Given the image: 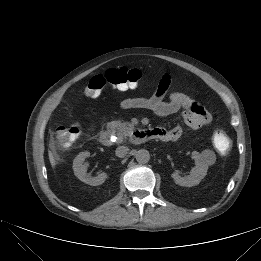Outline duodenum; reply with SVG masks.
I'll list each match as a JSON object with an SVG mask.
<instances>
[{
  "mask_svg": "<svg viewBox=\"0 0 261 261\" xmlns=\"http://www.w3.org/2000/svg\"><path fill=\"white\" fill-rule=\"evenodd\" d=\"M159 137V131L156 129L136 130L132 135V142L135 144L144 143ZM100 142L105 146H110L114 143V136L108 129L100 132Z\"/></svg>",
  "mask_w": 261,
  "mask_h": 261,
  "instance_id": "410a0bca",
  "label": "duodenum"
}]
</instances>
